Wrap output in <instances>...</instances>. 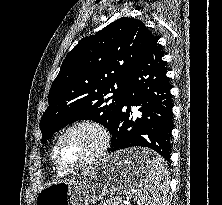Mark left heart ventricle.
<instances>
[{"instance_id": "obj_1", "label": "left heart ventricle", "mask_w": 222, "mask_h": 205, "mask_svg": "<svg viewBox=\"0 0 222 205\" xmlns=\"http://www.w3.org/2000/svg\"><path fill=\"white\" fill-rule=\"evenodd\" d=\"M100 143L98 134L90 128L70 132L59 144L57 158L66 167L74 166L96 151Z\"/></svg>"}]
</instances>
